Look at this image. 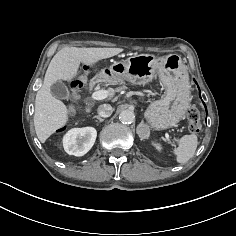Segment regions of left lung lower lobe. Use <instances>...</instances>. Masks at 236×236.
<instances>
[{
    "label": "left lung lower lobe",
    "instance_id": "1",
    "mask_svg": "<svg viewBox=\"0 0 236 236\" xmlns=\"http://www.w3.org/2000/svg\"><path fill=\"white\" fill-rule=\"evenodd\" d=\"M200 95V94H199ZM200 98H201V96H200ZM203 104H204V102H203ZM204 106H205V104H204ZM205 109H206V112H207V108H206V106H205Z\"/></svg>",
    "mask_w": 236,
    "mask_h": 236
}]
</instances>
